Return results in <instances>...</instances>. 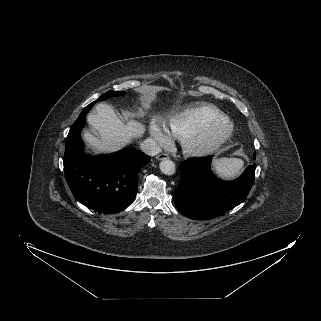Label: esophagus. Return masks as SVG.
Segmentation results:
<instances>
[{
	"instance_id": "esophagus-1",
	"label": "esophagus",
	"mask_w": 321,
	"mask_h": 321,
	"mask_svg": "<svg viewBox=\"0 0 321 321\" xmlns=\"http://www.w3.org/2000/svg\"><path fill=\"white\" fill-rule=\"evenodd\" d=\"M168 158H169V156L167 154H165V153L159 154V155L156 156L157 160H165V159H168Z\"/></svg>"
}]
</instances>
